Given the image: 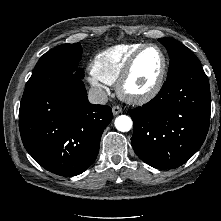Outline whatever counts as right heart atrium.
<instances>
[{
  "label": "right heart atrium",
  "mask_w": 221,
  "mask_h": 221,
  "mask_svg": "<svg viewBox=\"0 0 221 221\" xmlns=\"http://www.w3.org/2000/svg\"><path fill=\"white\" fill-rule=\"evenodd\" d=\"M88 81L92 85L93 88H95L101 93H104L107 90L106 87L103 85V83L93 75H91L88 78Z\"/></svg>",
  "instance_id": "obj_1"
}]
</instances>
